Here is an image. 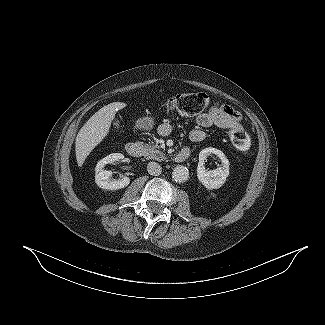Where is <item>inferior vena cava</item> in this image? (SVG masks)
<instances>
[{
  "instance_id": "inferior-vena-cava-1",
  "label": "inferior vena cava",
  "mask_w": 325,
  "mask_h": 325,
  "mask_svg": "<svg viewBox=\"0 0 325 325\" xmlns=\"http://www.w3.org/2000/svg\"><path fill=\"white\" fill-rule=\"evenodd\" d=\"M147 171L150 175L158 176L161 174L162 168L157 162H149Z\"/></svg>"
}]
</instances>
